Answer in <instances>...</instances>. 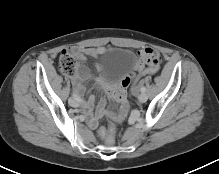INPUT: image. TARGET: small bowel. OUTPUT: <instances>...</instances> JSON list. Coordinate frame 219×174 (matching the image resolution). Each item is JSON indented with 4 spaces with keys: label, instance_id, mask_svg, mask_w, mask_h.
<instances>
[{
    "label": "small bowel",
    "instance_id": "obj_1",
    "mask_svg": "<svg viewBox=\"0 0 219 174\" xmlns=\"http://www.w3.org/2000/svg\"><path fill=\"white\" fill-rule=\"evenodd\" d=\"M111 50V48L107 47H95V48H71V54L80 62H85L88 57L98 58L105 54L107 51ZM137 63L134 67L133 73L127 74L123 77L122 81L117 84L116 87L108 86L106 89L109 92L108 96L110 99L114 100L116 105L118 106L121 112L118 113L117 118L119 121L124 122L127 120L128 115L125 111L128 110V100H129V92L127 90L128 86L131 83V78L134 76V72H139L144 68L150 66L151 68H160L164 63V56L160 52H156L153 49H144L137 56ZM89 69L79 64L77 66L76 73L71 77L72 84L75 87L76 95L81 97L86 88L83 85L85 81L90 78ZM95 101V97L91 96L84 104L85 111L89 114L93 104ZM105 113V101L101 100L97 107L96 115L89 119V126L91 128H95L98 124V119Z\"/></svg>",
    "mask_w": 219,
    "mask_h": 174
}]
</instances>
